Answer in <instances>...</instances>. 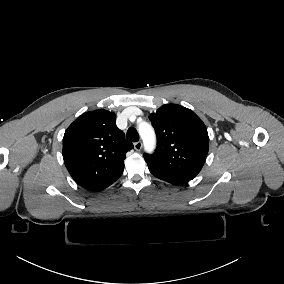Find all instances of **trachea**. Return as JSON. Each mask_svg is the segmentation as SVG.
<instances>
[{
  "mask_svg": "<svg viewBox=\"0 0 284 284\" xmlns=\"http://www.w3.org/2000/svg\"><path fill=\"white\" fill-rule=\"evenodd\" d=\"M126 138L131 142H137L139 140V134L135 128L131 127L126 133Z\"/></svg>",
  "mask_w": 284,
  "mask_h": 284,
  "instance_id": "3493384b",
  "label": "trachea"
}]
</instances>
